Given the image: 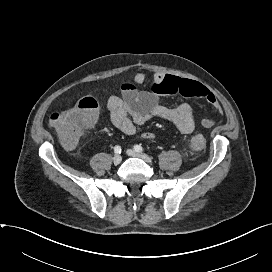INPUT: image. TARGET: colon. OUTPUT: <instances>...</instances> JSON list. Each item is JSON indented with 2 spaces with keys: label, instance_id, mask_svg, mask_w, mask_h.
Instances as JSON below:
<instances>
[{
  "label": "colon",
  "instance_id": "5ec220e1",
  "mask_svg": "<svg viewBox=\"0 0 272 272\" xmlns=\"http://www.w3.org/2000/svg\"><path fill=\"white\" fill-rule=\"evenodd\" d=\"M97 102L92 97H74L59 112L51 114L49 123L56 131L61 142L68 147L74 146L84 129L89 127L96 114ZM193 151H202L205 139L202 135H195L190 140Z\"/></svg>",
  "mask_w": 272,
  "mask_h": 272
}]
</instances>
